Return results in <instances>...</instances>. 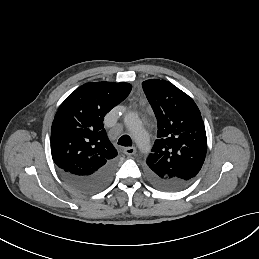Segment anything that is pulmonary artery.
I'll use <instances>...</instances> for the list:
<instances>
[{"label":"pulmonary artery","instance_id":"pulmonary-artery-1","mask_svg":"<svg viewBox=\"0 0 259 259\" xmlns=\"http://www.w3.org/2000/svg\"><path fill=\"white\" fill-rule=\"evenodd\" d=\"M126 128H127L129 135L134 140H137L139 137V135L137 133V127L134 124H132V122L129 119L126 120Z\"/></svg>","mask_w":259,"mask_h":259}]
</instances>
